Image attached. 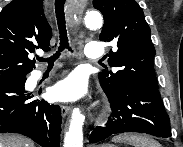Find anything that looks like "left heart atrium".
I'll list each match as a JSON object with an SVG mask.
<instances>
[{"instance_id":"39dd6f15","label":"left heart atrium","mask_w":183,"mask_h":147,"mask_svg":"<svg viewBox=\"0 0 183 147\" xmlns=\"http://www.w3.org/2000/svg\"><path fill=\"white\" fill-rule=\"evenodd\" d=\"M86 92V81L77 74H71L60 80L52 89L54 98L63 102L76 101L83 97Z\"/></svg>"}]
</instances>
